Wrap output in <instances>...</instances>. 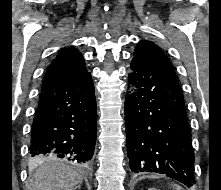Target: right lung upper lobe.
<instances>
[{
  "instance_id": "obj_1",
  "label": "right lung upper lobe",
  "mask_w": 221,
  "mask_h": 190,
  "mask_svg": "<svg viewBox=\"0 0 221 190\" xmlns=\"http://www.w3.org/2000/svg\"><path fill=\"white\" fill-rule=\"evenodd\" d=\"M87 73L82 54L70 47L60 51L48 67L41 91Z\"/></svg>"
}]
</instances>
